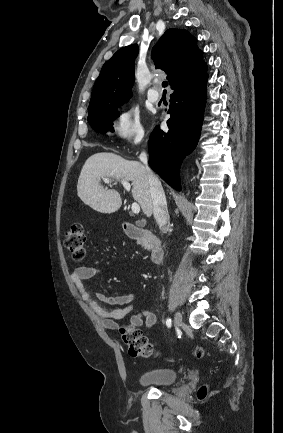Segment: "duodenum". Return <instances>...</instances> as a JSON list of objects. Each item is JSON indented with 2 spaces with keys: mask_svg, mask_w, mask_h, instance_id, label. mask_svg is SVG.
<instances>
[{
  "mask_svg": "<svg viewBox=\"0 0 283 433\" xmlns=\"http://www.w3.org/2000/svg\"><path fill=\"white\" fill-rule=\"evenodd\" d=\"M124 229L128 237L150 249L152 262L155 264L162 262L164 248L161 240L153 232L130 222L124 224Z\"/></svg>",
  "mask_w": 283,
  "mask_h": 433,
  "instance_id": "410a0bca",
  "label": "duodenum"
}]
</instances>
